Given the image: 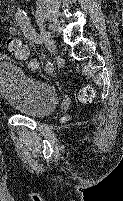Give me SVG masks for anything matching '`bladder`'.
Returning a JSON list of instances; mask_svg holds the SVG:
<instances>
[{
    "instance_id": "31cf9c89",
    "label": "bladder",
    "mask_w": 123,
    "mask_h": 201,
    "mask_svg": "<svg viewBox=\"0 0 123 201\" xmlns=\"http://www.w3.org/2000/svg\"><path fill=\"white\" fill-rule=\"evenodd\" d=\"M0 91L7 104L29 117L48 116L58 105L53 85L26 75L12 61H0Z\"/></svg>"
}]
</instances>
